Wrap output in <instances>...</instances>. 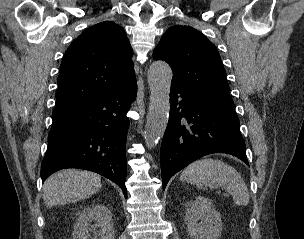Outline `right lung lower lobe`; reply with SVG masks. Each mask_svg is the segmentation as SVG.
Here are the masks:
<instances>
[{
	"instance_id": "obj_1",
	"label": "right lung lower lobe",
	"mask_w": 304,
	"mask_h": 239,
	"mask_svg": "<svg viewBox=\"0 0 304 239\" xmlns=\"http://www.w3.org/2000/svg\"><path fill=\"white\" fill-rule=\"evenodd\" d=\"M136 78L68 111L53 114L42 181L65 168L94 171L119 185L126 197V139Z\"/></svg>"
}]
</instances>
